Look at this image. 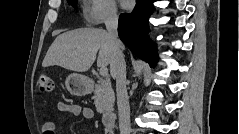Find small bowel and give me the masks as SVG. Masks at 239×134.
Segmentation results:
<instances>
[{
    "instance_id": "obj_1",
    "label": "small bowel",
    "mask_w": 239,
    "mask_h": 134,
    "mask_svg": "<svg viewBox=\"0 0 239 134\" xmlns=\"http://www.w3.org/2000/svg\"><path fill=\"white\" fill-rule=\"evenodd\" d=\"M57 109L59 112L68 113L74 116H82L85 119H91L94 115L93 110L89 106L75 104V103H66L59 102L57 104ZM44 134H56V124L53 121H50L44 125L43 128Z\"/></svg>"
}]
</instances>
